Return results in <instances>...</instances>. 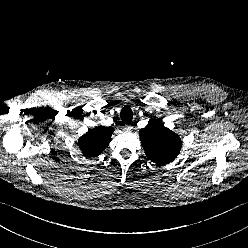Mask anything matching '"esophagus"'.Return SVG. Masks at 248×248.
I'll return each instance as SVG.
<instances>
[{
    "instance_id": "34e87169",
    "label": "esophagus",
    "mask_w": 248,
    "mask_h": 248,
    "mask_svg": "<svg viewBox=\"0 0 248 248\" xmlns=\"http://www.w3.org/2000/svg\"><path fill=\"white\" fill-rule=\"evenodd\" d=\"M123 129H124L126 132H132L133 126L127 124V125H125V126L123 127Z\"/></svg>"
}]
</instances>
